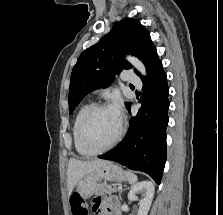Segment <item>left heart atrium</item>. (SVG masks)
Here are the masks:
<instances>
[{"mask_svg":"<svg viewBox=\"0 0 223 215\" xmlns=\"http://www.w3.org/2000/svg\"><path fill=\"white\" fill-rule=\"evenodd\" d=\"M110 109L116 114V116L121 120L122 116V102L118 97H115L113 100Z\"/></svg>","mask_w":223,"mask_h":215,"instance_id":"left-heart-atrium-1","label":"left heart atrium"}]
</instances>
